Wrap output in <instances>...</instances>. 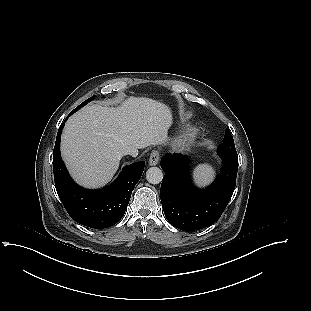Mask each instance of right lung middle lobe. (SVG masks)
Masks as SVG:
<instances>
[{
	"instance_id": "right-lung-middle-lobe-1",
	"label": "right lung middle lobe",
	"mask_w": 311,
	"mask_h": 311,
	"mask_svg": "<svg viewBox=\"0 0 311 311\" xmlns=\"http://www.w3.org/2000/svg\"><path fill=\"white\" fill-rule=\"evenodd\" d=\"M95 96L90 97L89 99H87L86 101H84L82 104H80L74 111H77L78 109H80L81 107H83L84 105H86L88 102H90L91 100L94 99Z\"/></svg>"
}]
</instances>
